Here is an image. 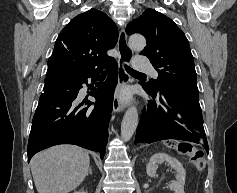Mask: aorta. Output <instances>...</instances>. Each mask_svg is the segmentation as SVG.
Returning <instances> with one entry per match:
<instances>
[{"mask_svg":"<svg viewBox=\"0 0 237 193\" xmlns=\"http://www.w3.org/2000/svg\"><path fill=\"white\" fill-rule=\"evenodd\" d=\"M129 47L133 50H142L146 46V40L141 34H133L129 37ZM138 126V112L135 106H131L125 112L121 123V138L129 141Z\"/></svg>","mask_w":237,"mask_h":193,"instance_id":"762f6f07","label":"aorta"}]
</instances>
